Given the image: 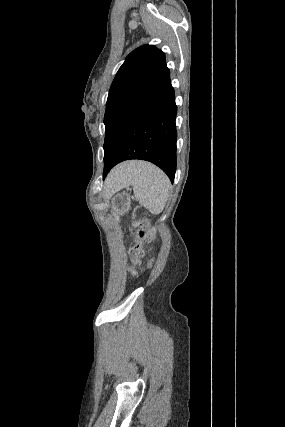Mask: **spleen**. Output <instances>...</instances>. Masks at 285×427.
<instances>
[{"label": "spleen", "mask_w": 285, "mask_h": 427, "mask_svg": "<svg viewBox=\"0 0 285 427\" xmlns=\"http://www.w3.org/2000/svg\"><path fill=\"white\" fill-rule=\"evenodd\" d=\"M136 162L121 173L120 185L114 189L132 186L135 198L152 214L163 211L169 196L170 181L157 166L147 162Z\"/></svg>", "instance_id": "3e777b00"}]
</instances>
